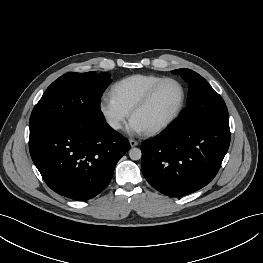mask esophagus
Returning a JSON list of instances; mask_svg holds the SVG:
<instances>
[{"label":"esophagus","instance_id":"esophagus-1","mask_svg":"<svg viewBox=\"0 0 263 263\" xmlns=\"http://www.w3.org/2000/svg\"><path fill=\"white\" fill-rule=\"evenodd\" d=\"M129 143H130V146H131V147H135V146L138 145V141H136V140H134V139H130V140H129Z\"/></svg>","mask_w":263,"mask_h":263}]
</instances>
